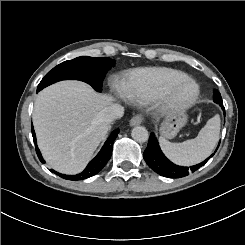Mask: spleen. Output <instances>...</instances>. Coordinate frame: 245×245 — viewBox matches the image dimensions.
Here are the masks:
<instances>
[{"mask_svg": "<svg viewBox=\"0 0 245 245\" xmlns=\"http://www.w3.org/2000/svg\"><path fill=\"white\" fill-rule=\"evenodd\" d=\"M220 116L210 118L194 139L182 143H172L164 137L159 138L160 146L166 156L181 166H191L204 161L211 155L219 141Z\"/></svg>", "mask_w": 245, "mask_h": 245, "instance_id": "obj_1", "label": "spleen"}]
</instances>
